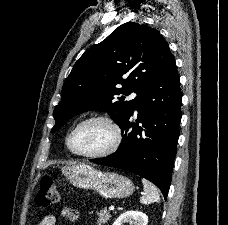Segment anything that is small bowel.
<instances>
[{
	"instance_id": "obj_1",
	"label": "small bowel",
	"mask_w": 228,
	"mask_h": 225,
	"mask_svg": "<svg viewBox=\"0 0 228 225\" xmlns=\"http://www.w3.org/2000/svg\"><path fill=\"white\" fill-rule=\"evenodd\" d=\"M62 215L71 222L78 220V213L70 207H63L61 210ZM57 219L54 214H46L39 221L38 225H56Z\"/></svg>"
}]
</instances>
